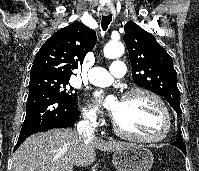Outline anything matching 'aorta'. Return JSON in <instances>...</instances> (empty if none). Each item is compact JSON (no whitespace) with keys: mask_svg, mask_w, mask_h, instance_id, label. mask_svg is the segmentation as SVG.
I'll list each match as a JSON object with an SVG mask.
<instances>
[{"mask_svg":"<svg viewBox=\"0 0 199 171\" xmlns=\"http://www.w3.org/2000/svg\"><path fill=\"white\" fill-rule=\"evenodd\" d=\"M124 53V46L120 42H109L104 47V55L107 58L114 59L120 57ZM112 100V97H107L106 105Z\"/></svg>","mask_w":199,"mask_h":171,"instance_id":"obj_1","label":"aorta"}]
</instances>
